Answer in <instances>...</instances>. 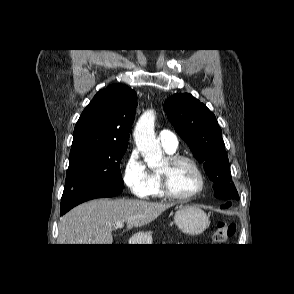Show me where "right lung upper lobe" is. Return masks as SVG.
<instances>
[{
    "mask_svg": "<svg viewBox=\"0 0 294 294\" xmlns=\"http://www.w3.org/2000/svg\"><path fill=\"white\" fill-rule=\"evenodd\" d=\"M136 106L137 95L126 85L113 84L100 90L77 121L72 146H128Z\"/></svg>",
    "mask_w": 294,
    "mask_h": 294,
    "instance_id": "right-lung-upper-lobe-1",
    "label": "right lung upper lobe"
}]
</instances>
